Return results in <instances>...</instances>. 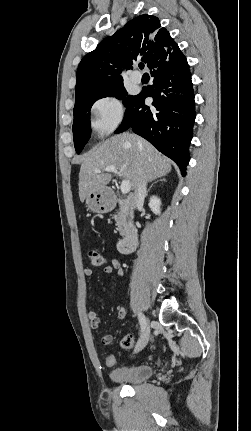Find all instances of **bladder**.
Segmentation results:
<instances>
[{
  "mask_svg": "<svg viewBox=\"0 0 251 431\" xmlns=\"http://www.w3.org/2000/svg\"><path fill=\"white\" fill-rule=\"evenodd\" d=\"M153 374V368L147 364L115 368L110 371L109 377L113 382L136 384L148 379Z\"/></svg>",
  "mask_w": 251,
  "mask_h": 431,
  "instance_id": "31cf9c89",
  "label": "bladder"
}]
</instances>
